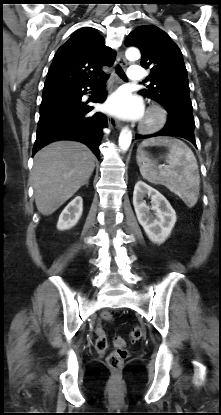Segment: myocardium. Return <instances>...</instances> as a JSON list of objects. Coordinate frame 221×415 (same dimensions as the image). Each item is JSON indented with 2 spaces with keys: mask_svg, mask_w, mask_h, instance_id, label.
Wrapping results in <instances>:
<instances>
[{
  "mask_svg": "<svg viewBox=\"0 0 221 415\" xmlns=\"http://www.w3.org/2000/svg\"><path fill=\"white\" fill-rule=\"evenodd\" d=\"M167 122L166 110L158 104L148 107L141 122L140 130L144 133H153L160 130Z\"/></svg>",
  "mask_w": 221,
  "mask_h": 415,
  "instance_id": "f54148a6",
  "label": "myocardium"
}]
</instances>
